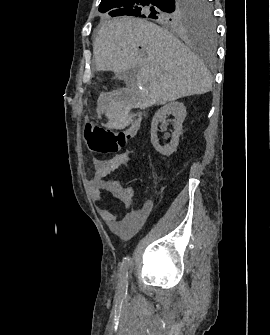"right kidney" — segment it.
I'll list each match as a JSON object with an SVG mask.
<instances>
[{
    "label": "right kidney",
    "instance_id": "ca27d5eb",
    "mask_svg": "<svg viewBox=\"0 0 270 335\" xmlns=\"http://www.w3.org/2000/svg\"><path fill=\"white\" fill-rule=\"evenodd\" d=\"M173 114L175 120H168V122H173L174 132L172 134V140L167 146H160L159 140L157 138L158 124L163 122V126H168L166 122L167 116ZM186 108L181 102H170L166 104L163 108H160L153 116L151 124V144H153L155 150L163 154V156H171L172 152H176V148L179 144V136L182 132V124L185 120Z\"/></svg>",
    "mask_w": 270,
    "mask_h": 335
}]
</instances>
